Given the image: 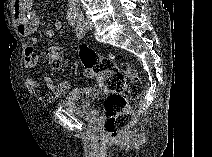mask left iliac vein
Returning <instances> with one entry per match:
<instances>
[{
    "label": "left iliac vein",
    "instance_id": "obj_1",
    "mask_svg": "<svg viewBox=\"0 0 212 157\" xmlns=\"http://www.w3.org/2000/svg\"><path fill=\"white\" fill-rule=\"evenodd\" d=\"M82 26L85 30H91L93 28V25L87 20L82 21Z\"/></svg>",
    "mask_w": 212,
    "mask_h": 157
}]
</instances>
